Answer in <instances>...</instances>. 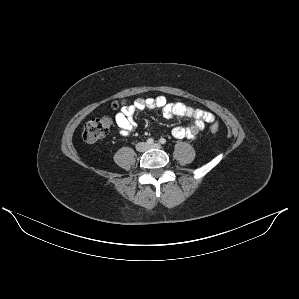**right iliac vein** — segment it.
Listing matches in <instances>:
<instances>
[{"label":"right iliac vein","mask_w":299,"mask_h":299,"mask_svg":"<svg viewBox=\"0 0 299 299\" xmlns=\"http://www.w3.org/2000/svg\"><path fill=\"white\" fill-rule=\"evenodd\" d=\"M136 150H137L138 152H144V151H146V150H147V145H146V143H143V142L138 143L137 146H136Z\"/></svg>","instance_id":"right-iliac-vein-1"}]
</instances>
